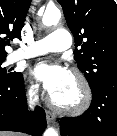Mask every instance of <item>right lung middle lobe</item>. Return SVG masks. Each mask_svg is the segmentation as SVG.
Returning <instances> with one entry per match:
<instances>
[{
	"mask_svg": "<svg viewBox=\"0 0 117 136\" xmlns=\"http://www.w3.org/2000/svg\"><path fill=\"white\" fill-rule=\"evenodd\" d=\"M5 58H0V81L13 80L22 75L18 72H11V70L7 71L6 68L2 67V63L5 61Z\"/></svg>",
	"mask_w": 117,
	"mask_h": 136,
	"instance_id": "obj_1",
	"label": "right lung middle lobe"
}]
</instances>
